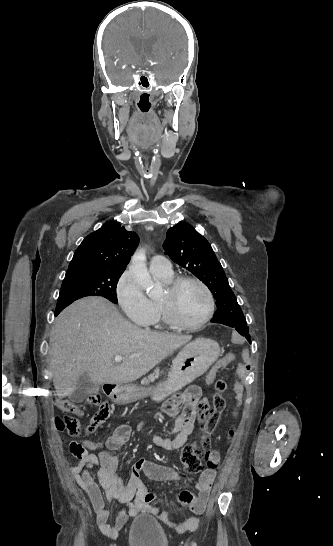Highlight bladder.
I'll use <instances>...</instances> for the list:
<instances>
[{
  "instance_id": "bladder-1",
  "label": "bladder",
  "mask_w": 333,
  "mask_h": 546,
  "mask_svg": "<svg viewBox=\"0 0 333 546\" xmlns=\"http://www.w3.org/2000/svg\"><path fill=\"white\" fill-rule=\"evenodd\" d=\"M128 542L130 546H169L161 524L152 515H141L134 519L129 529Z\"/></svg>"
}]
</instances>
